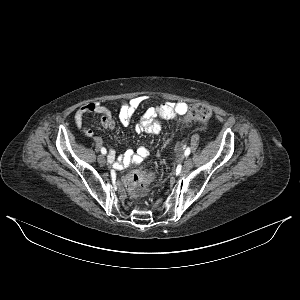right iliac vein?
Returning <instances> with one entry per match:
<instances>
[{
	"mask_svg": "<svg viewBox=\"0 0 300 300\" xmlns=\"http://www.w3.org/2000/svg\"><path fill=\"white\" fill-rule=\"evenodd\" d=\"M98 162L100 165H105L106 164V159L103 155L98 156Z\"/></svg>",
	"mask_w": 300,
	"mask_h": 300,
	"instance_id": "right-iliac-vein-1",
	"label": "right iliac vein"
}]
</instances>
